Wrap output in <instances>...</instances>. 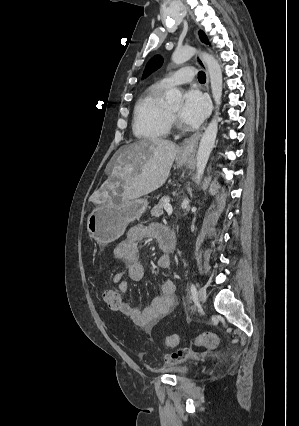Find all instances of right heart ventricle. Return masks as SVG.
I'll return each instance as SVG.
<instances>
[{"instance_id":"1","label":"right heart ventricle","mask_w":299,"mask_h":426,"mask_svg":"<svg viewBox=\"0 0 299 426\" xmlns=\"http://www.w3.org/2000/svg\"><path fill=\"white\" fill-rule=\"evenodd\" d=\"M166 88L161 82L155 83L138 100L133 121V132L138 138L157 140L168 135L171 121L163 97Z\"/></svg>"}]
</instances>
